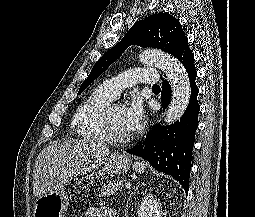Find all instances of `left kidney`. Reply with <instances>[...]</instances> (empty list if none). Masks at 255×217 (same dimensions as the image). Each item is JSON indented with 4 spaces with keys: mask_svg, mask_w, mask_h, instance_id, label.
Returning a JSON list of instances; mask_svg holds the SVG:
<instances>
[{
    "mask_svg": "<svg viewBox=\"0 0 255 217\" xmlns=\"http://www.w3.org/2000/svg\"><path fill=\"white\" fill-rule=\"evenodd\" d=\"M161 213L160 205L152 194L143 197L139 206L138 217H160Z\"/></svg>",
    "mask_w": 255,
    "mask_h": 217,
    "instance_id": "obj_1",
    "label": "left kidney"
}]
</instances>
